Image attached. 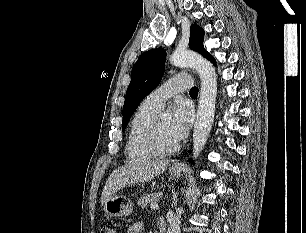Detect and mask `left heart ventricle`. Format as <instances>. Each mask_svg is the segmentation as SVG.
Listing matches in <instances>:
<instances>
[{
    "mask_svg": "<svg viewBox=\"0 0 306 233\" xmlns=\"http://www.w3.org/2000/svg\"><path fill=\"white\" fill-rule=\"evenodd\" d=\"M169 122L170 120L168 118L160 117L158 119L159 139L161 144L166 148L172 147L177 144V142H175L170 135Z\"/></svg>",
    "mask_w": 306,
    "mask_h": 233,
    "instance_id": "obj_1",
    "label": "left heart ventricle"
}]
</instances>
